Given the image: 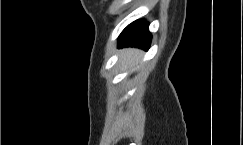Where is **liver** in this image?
<instances>
[{
  "label": "liver",
  "mask_w": 243,
  "mask_h": 145,
  "mask_svg": "<svg viewBox=\"0 0 243 145\" xmlns=\"http://www.w3.org/2000/svg\"><path fill=\"white\" fill-rule=\"evenodd\" d=\"M140 58V52L136 49H127L122 52L120 61L124 69L132 67L138 62Z\"/></svg>",
  "instance_id": "1"
}]
</instances>
